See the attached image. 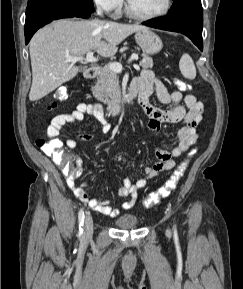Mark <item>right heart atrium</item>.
Wrapping results in <instances>:
<instances>
[{
    "mask_svg": "<svg viewBox=\"0 0 243 289\" xmlns=\"http://www.w3.org/2000/svg\"><path fill=\"white\" fill-rule=\"evenodd\" d=\"M93 1L98 7L112 14L119 13L123 2V0H93Z\"/></svg>",
    "mask_w": 243,
    "mask_h": 289,
    "instance_id": "1",
    "label": "right heart atrium"
}]
</instances>
